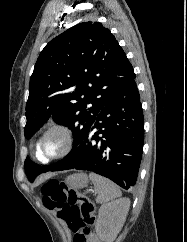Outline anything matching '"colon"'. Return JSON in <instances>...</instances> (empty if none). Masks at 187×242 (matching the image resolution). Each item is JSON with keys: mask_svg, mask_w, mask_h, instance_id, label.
Instances as JSON below:
<instances>
[{"mask_svg": "<svg viewBox=\"0 0 187 242\" xmlns=\"http://www.w3.org/2000/svg\"><path fill=\"white\" fill-rule=\"evenodd\" d=\"M41 191L45 207L56 211L73 232V242H100L92 233L96 215L88 197L58 180L46 182Z\"/></svg>", "mask_w": 187, "mask_h": 242, "instance_id": "obj_1", "label": "colon"}]
</instances>
